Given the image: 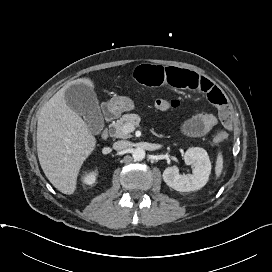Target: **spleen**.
<instances>
[{
	"mask_svg": "<svg viewBox=\"0 0 272 272\" xmlns=\"http://www.w3.org/2000/svg\"><path fill=\"white\" fill-rule=\"evenodd\" d=\"M222 169H223V157L221 152H219L217 155L216 166H215L216 177H219L221 175Z\"/></svg>",
	"mask_w": 272,
	"mask_h": 272,
	"instance_id": "obj_1",
	"label": "spleen"
}]
</instances>
